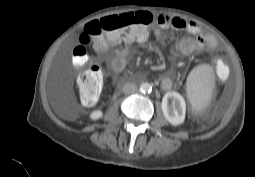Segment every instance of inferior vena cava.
<instances>
[{"mask_svg": "<svg viewBox=\"0 0 255 177\" xmlns=\"http://www.w3.org/2000/svg\"><path fill=\"white\" fill-rule=\"evenodd\" d=\"M137 91V86L134 83H126L123 86V92L125 94H133Z\"/></svg>", "mask_w": 255, "mask_h": 177, "instance_id": "1", "label": "inferior vena cava"}]
</instances>
